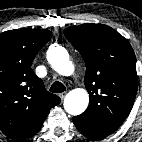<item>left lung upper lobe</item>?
I'll list each match as a JSON object with an SVG mask.
<instances>
[{
	"mask_svg": "<svg viewBox=\"0 0 142 142\" xmlns=\"http://www.w3.org/2000/svg\"><path fill=\"white\" fill-rule=\"evenodd\" d=\"M85 65L89 106L73 120L101 138L116 131L129 115L138 88L136 61L129 42L103 24H82L64 30Z\"/></svg>",
	"mask_w": 142,
	"mask_h": 142,
	"instance_id": "5c2ea615",
	"label": "left lung upper lobe"
}]
</instances>
